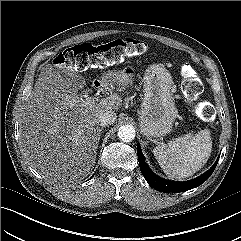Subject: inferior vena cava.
Segmentation results:
<instances>
[{
  "label": "inferior vena cava",
  "mask_w": 241,
  "mask_h": 241,
  "mask_svg": "<svg viewBox=\"0 0 241 241\" xmlns=\"http://www.w3.org/2000/svg\"><path fill=\"white\" fill-rule=\"evenodd\" d=\"M117 116L114 111H101L97 115V123L98 125L105 127L107 125H111L115 122Z\"/></svg>",
  "instance_id": "obj_1"
}]
</instances>
